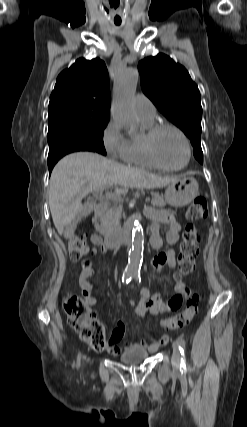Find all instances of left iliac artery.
I'll return each mask as SVG.
<instances>
[{"label":"left iliac artery","instance_id":"left-iliac-artery-1","mask_svg":"<svg viewBox=\"0 0 247 427\" xmlns=\"http://www.w3.org/2000/svg\"><path fill=\"white\" fill-rule=\"evenodd\" d=\"M134 278L136 280H138L139 282L141 281L140 274H135ZM177 341L179 342V350H180V353L182 355V358H181V367L183 369H186V360H185V357H184V354H185V340L182 337H179L177 339Z\"/></svg>","mask_w":247,"mask_h":427}]
</instances>
